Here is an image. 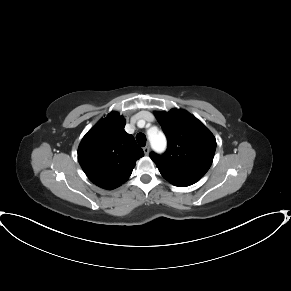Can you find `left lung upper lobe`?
<instances>
[{
    "mask_svg": "<svg viewBox=\"0 0 291 291\" xmlns=\"http://www.w3.org/2000/svg\"><path fill=\"white\" fill-rule=\"evenodd\" d=\"M167 136L163 155L150 154L162 176L175 186L197 182L210 168L216 150L213 134L196 117L179 109L155 112Z\"/></svg>",
    "mask_w": 291,
    "mask_h": 291,
    "instance_id": "obj_1",
    "label": "left lung upper lobe"
}]
</instances>
